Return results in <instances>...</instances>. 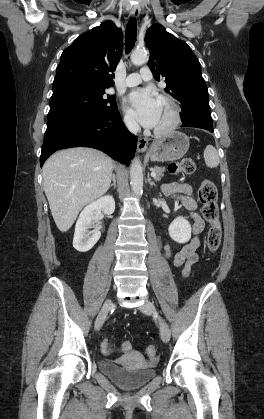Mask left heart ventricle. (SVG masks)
Returning a JSON list of instances; mask_svg holds the SVG:
<instances>
[{"label": "left heart ventricle", "instance_id": "1", "mask_svg": "<svg viewBox=\"0 0 264 419\" xmlns=\"http://www.w3.org/2000/svg\"><path fill=\"white\" fill-rule=\"evenodd\" d=\"M169 116L170 109L168 105L159 100V118L155 127L158 128L164 126L168 122Z\"/></svg>", "mask_w": 264, "mask_h": 419}]
</instances>
